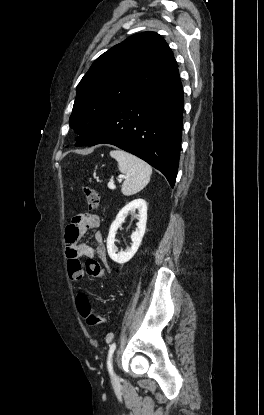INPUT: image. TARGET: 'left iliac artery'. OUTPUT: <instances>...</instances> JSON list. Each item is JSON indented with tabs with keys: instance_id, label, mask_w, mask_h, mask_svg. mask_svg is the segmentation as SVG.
<instances>
[{
	"instance_id": "left-iliac-artery-1",
	"label": "left iliac artery",
	"mask_w": 264,
	"mask_h": 415,
	"mask_svg": "<svg viewBox=\"0 0 264 415\" xmlns=\"http://www.w3.org/2000/svg\"><path fill=\"white\" fill-rule=\"evenodd\" d=\"M115 348H116V344L112 343L110 345L109 352H108L107 367H108V370L111 374H113L111 358H112V354H113Z\"/></svg>"
}]
</instances>
